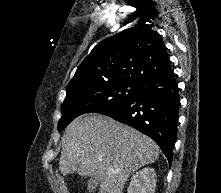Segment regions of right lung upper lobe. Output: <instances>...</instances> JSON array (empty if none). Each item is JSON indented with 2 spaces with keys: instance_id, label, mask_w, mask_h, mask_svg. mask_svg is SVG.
I'll list each match as a JSON object with an SVG mask.
<instances>
[{
  "instance_id": "obj_1",
  "label": "right lung upper lobe",
  "mask_w": 221,
  "mask_h": 193,
  "mask_svg": "<svg viewBox=\"0 0 221 193\" xmlns=\"http://www.w3.org/2000/svg\"><path fill=\"white\" fill-rule=\"evenodd\" d=\"M149 26L129 28L98 43L77 68L67 90L115 82L143 83L172 72L162 38Z\"/></svg>"
}]
</instances>
